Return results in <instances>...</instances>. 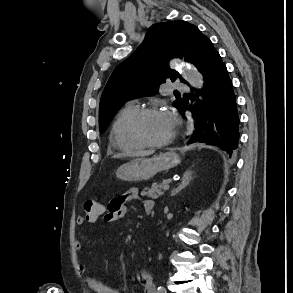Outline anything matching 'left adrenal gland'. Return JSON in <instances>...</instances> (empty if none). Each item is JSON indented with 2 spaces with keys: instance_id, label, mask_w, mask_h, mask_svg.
Segmentation results:
<instances>
[{
  "instance_id": "left-adrenal-gland-1",
  "label": "left adrenal gland",
  "mask_w": 293,
  "mask_h": 293,
  "mask_svg": "<svg viewBox=\"0 0 293 293\" xmlns=\"http://www.w3.org/2000/svg\"><path fill=\"white\" fill-rule=\"evenodd\" d=\"M192 171L188 170L184 173L181 183L178 185L177 188L171 191V196L177 195L182 189L189 185V183L193 180Z\"/></svg>"
}]
</instances>
